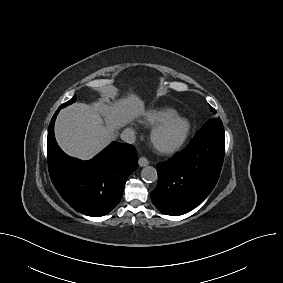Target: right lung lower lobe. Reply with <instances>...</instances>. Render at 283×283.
Instances as JSON below:
<instances>
[{
    "label": "right lung lower lobe",
    "mask_w": 283,
    "mask_h": 283,
    "mask_svg": "<svg viewBox=\"0 0 283 283\" xmlns=\"http://www.w3.org/2000/svg\"><path fill=\"white\" fill-rule=\"evenodd\" d=\"M47 137L51 181L61 197L87 216H103L120 202L128 176L137 169L138 158L130 144L113 142L93 159L82 161L66 155L54 136V123Z\"/></svg>",
    "instance_id": "98d812e1"
}]
</instances>
